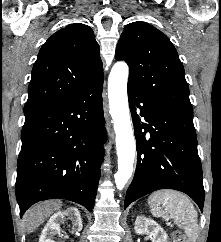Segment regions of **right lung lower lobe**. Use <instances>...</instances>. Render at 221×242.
<instances>
[{
    "mask_svg": "<svg viewBox=\"0 0 221 242\" xmlns=\"http://www.w3.org/2000/svg\"><path fill=\"white\" fill-rule=\"evenodd\" d=\"M102 89L103 76L61 102L24 112L15 187L21 216L52 198L92 211L106 140Z\"/></svg>",
    "mask_w": 221,
    "mask_h": 242,
    "instance_id": "right-lung-lower-lobe-1",
    "label": "right lung lower lobe"
}]
</instances>
